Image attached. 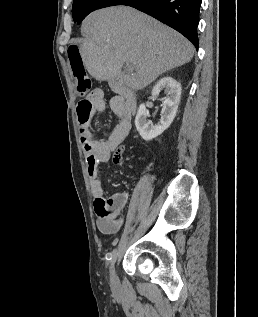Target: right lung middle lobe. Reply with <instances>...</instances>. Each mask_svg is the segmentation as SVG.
<instances>
[{
	"mask_svg": "<svg viewBox=\"0 0 258 317\" xmlns=\"http://www.w3.org/2000/svg\"><path fill=\"white\" fill-rule=\"evenodd\" d=\"M88 0H74L72 7V17L74 22L78 19L82 9L86 5Z\"/></svg>",
	"mask_w": 258,
	"mask_h": 317,
	"instance_id": "1",
	"label": "right lung middle lobe"
}]
</instances>
